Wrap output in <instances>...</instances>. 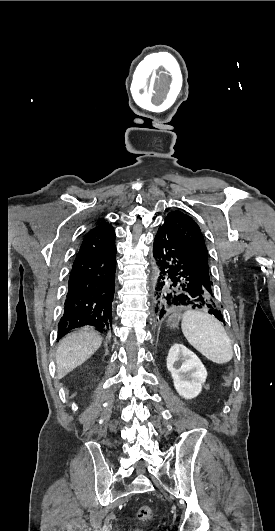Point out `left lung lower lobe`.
I'll use <instances>...</instances> for the list:
<instances>
[{
    "instance_id": "1",
    "label": "left lung lower lobe",
    "mask_w": 275,
    "mask_h": 531,
    "mask_svg": "<svg viewBox=\"0 0 275 531\" xmlns=\"http://www.w3.org/2000/svg\"><path fill=\"white\" fill-rule=\"evenodd\" d=\"M153 256L158 268L153 296L157 318L175 308L202 309L224 323L212 291L202 284L179 239L165 223L154 238Z\"/></svg>"
}]
</instances>
